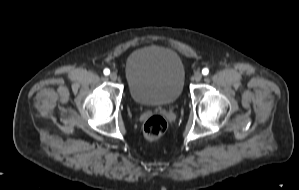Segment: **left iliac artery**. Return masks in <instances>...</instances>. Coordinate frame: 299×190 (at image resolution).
<instances>
[{"label":"left iliac artery","instance_id":"1","mask_svg":"<svg viewBox=\"0 0 299 190\" xmlns=\"http://www.w3.org/2000/svg\"><path fill=\"white\" fill-rule=\"evenodd\" d=\"M208 73H209L208 68H204V69L202 70V74H203V75H207Z\"/></svg>","mask_w":299,"mask_h":190}]
</instances>
